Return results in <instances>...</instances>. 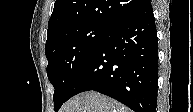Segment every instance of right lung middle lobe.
<instances>
[{
  "label": "right lung middle lobe",
  "instance_id": "right-lung-middle-lobe-1",
  "mask_svg": "<svg viewBox=\"0 0 193 112\" xmlns=\"http://www.w3.org/2000/svg\"><path fill=\"white\" fill-rule=\"evenodd\" d=\"M108 29L96 23H80L60 30L46 41L47 75L55 88V111L68 100L80 68Z\"/></svg>",
  "mask_w": 193,
  "mask_h": 112
}]
</instances>
